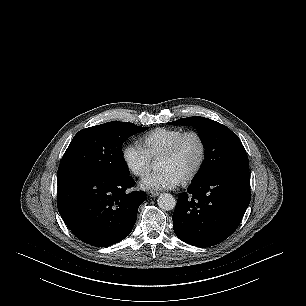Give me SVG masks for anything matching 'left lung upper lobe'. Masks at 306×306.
<instances>
[{"mask_svg": "<svg viewBox=\"0 0 306 306\" xmlns=\"http://www.w3.org/2000/svg\"><path fill=\"white\" fill-rule=\"evenodd\" d=\"M169 124L194 126L205 147V159L192 181L220 171L249 169L246 151L238 136L228 127L200 116L181 118Z\"/></svg>", "mask_w": 306, "mask_h": 306, "instance_id": "1", "label": "left lung upper lobe"}]
</instances>
